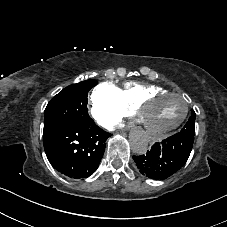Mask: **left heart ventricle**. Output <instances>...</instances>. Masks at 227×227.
<instances>
[{
	"label": "left heart ventricle",
	"mask_w": 227,
	"mask_h": 227,
	"mask_svg": "<svg viewBox=\"0 0 227 227\" xmlns=\"http://www.w3.org/2000/svg\"><path fill=\"white\" fill-rule=\"evenodd\" d=\"M185 102L175 95L161 96L140 111V124L144 128L166 129L176 123L182 116Z\"/></svg>",
	"instance_id": "left-heart-ventricle-1"
}]
</instances>
